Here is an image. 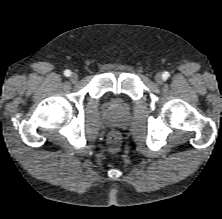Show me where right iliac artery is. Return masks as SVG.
Segmentation results:
<instances>
[{
  "mask_svg": "<svg viewBox=\"0 0 222 219\" xmlns=\"http://www.w3.org/2000/svg\"><path fill=\"white\" fill-rule=\"evenodd\" d=\"M64 75H65L66 77H69V76L71 75V71H70V70H65V71H64Z\"/></svg>",
  "mask_w": 222,
  "mask_h": 219,
  "instance_id": "right-iliac-artery-1",
  "label": "right iliac artery"
}]
</instances>
